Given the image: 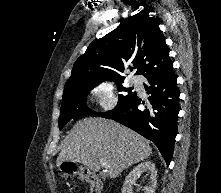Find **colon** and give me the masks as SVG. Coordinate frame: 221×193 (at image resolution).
Masks as SVG:
<instances>
[{
  "label": "colon",
  "instance_id": "1",
  "mask_svg": "<svg viewBox=\"0 0 221 193\" xmlns=\"http://www.w3.org/2000/svg\"><path fill=\"white\" fill-rule=\"evenodd\" d=\"M64 171L66 173H75L76 167L73 165H66L64 167ZM85 177L91 184L90 193H101V182L95 176L91 174H86Z\"/></svg>",
  "mask_w": 221,
  "mask_h": 193
}]
</instances>
